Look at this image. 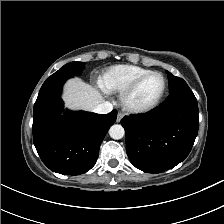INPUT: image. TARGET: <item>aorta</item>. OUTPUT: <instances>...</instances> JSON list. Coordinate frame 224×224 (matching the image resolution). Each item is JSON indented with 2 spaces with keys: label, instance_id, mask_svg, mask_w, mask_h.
Masks as SVG:
<instances>
[{
  "label": "aorta",
  "instance_id": "obj_1",
  "mask_svg": "<svg viewBox=\"0 0 224 224\" xmlns=\"http://www.w3.org/2000/svg\"><path fill=\"white\" fill-rule=\"evenodd\" d=\"M109 135L112 139L119 140L125 135L124 128L119 124H114L109 129Z\"/></svg>",
  "mask_w": 224,
  "mask_h": 224
}]
</instances>
